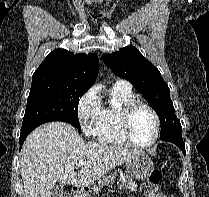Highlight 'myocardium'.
Instances as JSON below:
<instances>
[{"label":"myocardium","mask_w":209,"mask_h":197,"mask_svg":"<svg viewBox=\"0 0 209 197\" xmlns=\"http://www.w3.org/2000/svg\"><path fill=\"white\" fill-rule=\"evenodd\" d=\"M138 107H145L148 109L151 114L154 117L155 120V131L153 138L151 139L150 142L148 143H138L137 141L134 140L131 132V118L133 112L138 108ZM120 127L122 134L126 141L137 148H150L154 146L159 138L160 135V129H161V122H160V117L158 112L155 110L153 106H151L149 103L140 100V99H133L126 105H124L120 111Z\"/></svg>","instance_id":"1"}]
</instances>
